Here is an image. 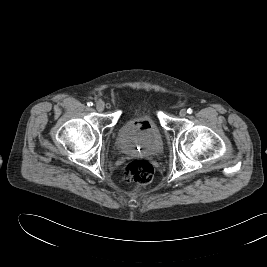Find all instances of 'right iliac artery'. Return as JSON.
<instances>
[{
  "label": "right iliac artery",
  "mask_w": 267,
  "mask_h": 267,
  "mask_svg": "<svg viewBox=\"0 0 267 267\" xmlns=\"http://www.w3.org/2000/svg\"><path fill=\"white\" fill-rule=\"evenodd\" d=\"M87 105L90 107V106H93V103L92 102H88Z\"/></svg>",
  "instance_id": "right-iliac-artery-1"
}]
</instances>
